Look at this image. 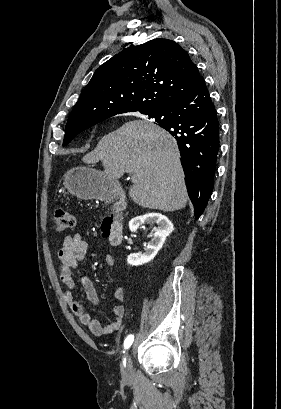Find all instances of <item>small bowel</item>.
Here are the masks:
<instances>
[{
	"label": "small bowel",
	"instance_id": "c3829d8e",
	"mask_svg": "<svg viewBox=\"0 0 281 409\" xmlns=\"http://www.w3.org/2000/svg\"><path fill=\"white\" fill-rule=\"evenodd\" d=\"M87 251L88 244L79 234L67 235L58 250V272L64 285V298L72 312L78 317L79 322L86 326L95 336H106L118 331L122 326L125 316V306L123 305L125 292L120 286L115 288L114 296L118 303L113 307L114 318L104 326L85 311L83 304L74 296L76 286L74 272L79 262L86 258ZM104 262L107 267H113L115 260L112 255H106ZM79 282L87 301L94 306H99L100 299L91 279L83 276L79 278Z\"/></svg>",
	"mask_w": 281,
	"mask_h": 409
}]
</instances>
